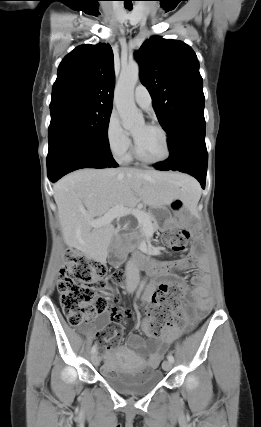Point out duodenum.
Listing matches in <instances>:
<instances>
[{
	"mask_svg": "<svg viewBox=\"0 0 261 427\" xmlns=\"http://www.w3.org/2000/svg\"><path fill=\"white\" fill-rule=\"evenodd\" d=\"M134 263L139 266L140 268H152V267H156L157 264L153 261H151L148 257L142 255V254H135L134 256Z\"/></svg>",
	"mask_w": 261,
	"mask_h": 427,
	"instance_id": "obj_1",
	"label": "duodenum"
}]
</instances>
